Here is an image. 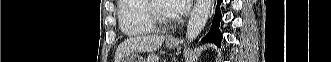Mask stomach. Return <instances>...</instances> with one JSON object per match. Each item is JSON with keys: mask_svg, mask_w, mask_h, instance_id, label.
<instances>
[{"mask_svg": "<svg viewBox=\"0 0 331 62\" xmlns=\"http://www.w3.org/2000/svg\"><path fill=\"white\" fill-rule=\"evenodd\" d=\"M166 45L169 48H176L178 47V42H170L169 40L166 41ZM121 62H146L141 56L139 55H128Z\"/></svg>", "mask_w": 331, "mask_h": 62, "instance_id": "stomach-1", "label": "stomach"}]
</instances>
